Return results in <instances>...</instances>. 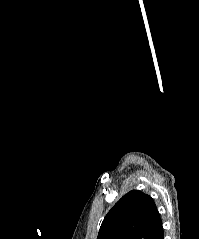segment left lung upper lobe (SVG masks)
Segmentation results:
<instances>
[{
    "instance_id": "left-lung-upper-lobe-1",
    "label": "left lung upper lobe",
    "mask_w": 199,
    "mask_h": 239,
    "mask_svg": "<svg viewBox=\"0 0 199 239\" xmlns=\"http://www.w3.org/2000/svg\"><path fill=\"white\" fill-rule=\"evenodd\" d=\"M160 223L153 199L132 190L107 213L97 239H152Z\"/></svg>"
}]
</instances>
